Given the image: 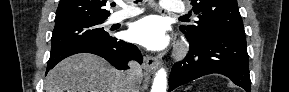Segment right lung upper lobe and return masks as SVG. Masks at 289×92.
<instances>
[{"instance_id": "cb5924a9", "label": "right lung upper lobe", "mask_w": 289, "mask_h": 92, "mask_svg": "<svg viewBox=\"0 0 289 92\" xmlns=\"http://www.w3.org/2000/svg\"><path fill=\"white\" fill-rule=\"evenodd\" d=\"M106 0H60L55 22L91 18L106 20L110 13L105 9Z\"/></svg>"}]
</instances>
